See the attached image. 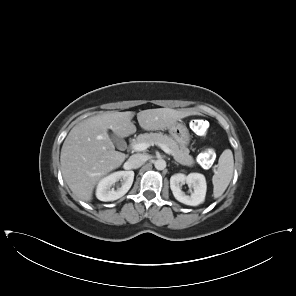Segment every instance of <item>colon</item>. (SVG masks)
Here are the masks:
<instances>
[{"mask_svg":"<svg viewBox=\"0 0 296 296\" xmlns=\"http://www.w3.org/2000/svg\"><path fill=\"white\" fill-rule=\"evenodd\" d=\"M190 128L196 135L204 136L205 133L207 132L208 126L205 123V121L200 119H194L190 122ZM211 158H212V151L205 150L200 155V162L202 164H208Z\"/></svg>","mask_w":296,"mask_h":296,"instance_id":"5ec220e1","label":"colon"}]
</instances>
